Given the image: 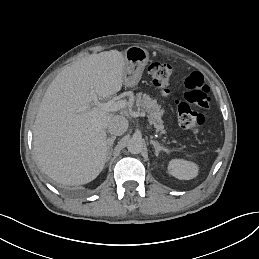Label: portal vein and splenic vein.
<instances>
[{
	"mask_svg": "<svg viewBox=\"0 0 259 259\" xmlns=\"http://www.w3.org/2000/svg\"><path fill=\"white\" fill-rule=\"evenodd\" d=\"M90 94L92 96V98L96 101L97 100V95L95 93L94 90H91L90 91ZM125 106V103L124 102H116L115 100H110L108 101L106 104H105V107L109 110V111H114V110H117V109H120L122 107ZM85 109L83 107L81 108H77L74 113L78 114V113H81L83 112Z\"/></svg>",
	"mask_w": 259,
	"mask_h": 259,
	"instance_id": "1",
	"label": "portal vein and splenic vein"
}]
</instances>
